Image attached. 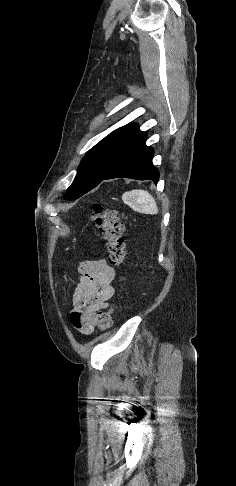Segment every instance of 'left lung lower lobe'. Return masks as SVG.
Masks as SVG:
<instances>
[{"instance_id": "obj_1", "label": "left lung lower lobe", "mask_w": 236, "mask_h": 486, "mask_svg": "<svg viewBox=\"0 0 236 486\" xmlns=\"http://www.w3.org/2000/svg\"><path fill=\"white\" fill-rule=\"evenodd\" d=\"M146 138L147 134L143 133L103 180L125 177L138 180H152L156 184L159 179V172L153 166L154 151L151 147L146 146Z\"/></svg>"}]
</instances>
